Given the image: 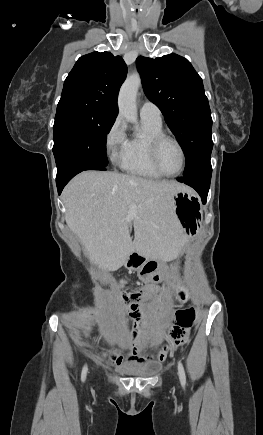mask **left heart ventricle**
<instances>
[{
	"label": "left heart ventricle",
	"instance_id": "obj_1",
	"mask_svg": "<svg viewBox=\"0 0 263 435\" xmlns=\"http://www.w3.org/2000/svg\"><path fill=\"white\" fill-rule=\"evenodd\" d=\"M158 159L162 169L167 173L174 174L181 169V152L178 146L171 141H165L161 145Z\"/></svg>",
	"mask_w": 263,
	"mask_h": 435
}]
</instances>
